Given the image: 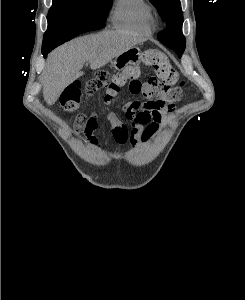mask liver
I'll return each instance as SVG.
<instances>
[{
  "label": "liver",
  "instance_id": "1",
  "mask_svg": "<svg viewBox=\"0 0 245 300\" xmlns=\"http://www.w3.org/2000/svg\"><path fill=\"white\" fill-rule=\"evenodd\" d=\"M140 42L133 34L102 31L58 47L48 56L42 75L46 103L53 105L64 89L83 75L85 62L90 63L91 69H98Z\"/></svg>",
  "mask_w": 245,
  "mask_h": 300
}]
</instances>
